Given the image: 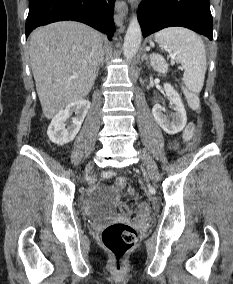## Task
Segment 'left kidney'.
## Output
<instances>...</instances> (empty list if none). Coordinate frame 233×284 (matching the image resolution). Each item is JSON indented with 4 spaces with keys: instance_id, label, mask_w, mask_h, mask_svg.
Instances as JSON below:
<instances>
[{
    "instance_id": "left-kidney-1",
    "label": "left kidney",
    "mask_w": 233,
    "mask_h": 284,
    "mask_svg": "<svg viewBox=\"0 0 233 284\" xmlns=\"http://www.w3.org/2000/svg\"><path fill=\"white\" fill-rule=\"evenodd\" d=\"M164 90L174 112L170 116H166L163 114V107L156 103L152 109V114L160 127L166 133L173 135L183 130L187 122V116L178 92L169 83L164 84Z\"/></svg>"
}]
</instances>
